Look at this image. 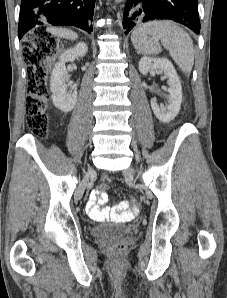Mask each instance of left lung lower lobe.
Returning <instances> with one entry per match:
<instances>
[{
  "label": "left lung lower lobe",
  "mask_w": 227,
  "mask_h": 298,
  "mask_svg": "<svg viewBox=\"0 0 227 298\" xmlns=\"http://www.w3.org/2000/svg\"><path fill=\"white\" fill-rule=\"evenodd\" d=\"M154 19L173 20L199 34L198 0H127L123 15L125 33L138 23Z\"/></svg>",
  "instance_id": "0a47b994"
}]
</instances>
